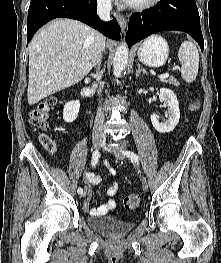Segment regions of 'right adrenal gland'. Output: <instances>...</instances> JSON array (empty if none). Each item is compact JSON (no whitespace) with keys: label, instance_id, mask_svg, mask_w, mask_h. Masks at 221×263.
<instances>
[{"label":"right adrenal gland","instance_id":"2a0ac1e0","mask_svg":"<svg viewBox=\"0 0 221 263\" xmlns=\"http://www.w3.org/2000/svg\"><path fill=\"white\" fill-rule=\"evenodd\" d=\"M99 68H100V64L97 66V70H96V71H98V70H99Z\"/></svg>","mask_w":221,"mask_h":263}]
</instances>
